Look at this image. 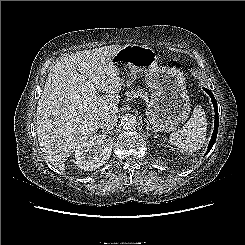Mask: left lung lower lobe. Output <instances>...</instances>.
I'll return each instance as SVG.
<instances>
[{
  "mask_svg": "<svg viewBox=\"0 0 245 245\" xmlns=\"http://www.w3.org/2000/svg\"><path fill=\"white\" fill-rule=\"evenodd\" d=\"M203 89H204V91H206L209 94L211 101L213 103V106H214V111H215L214 130H213V134H212L211 140H210L209 145H208V150L206 152V154H207L211 150V148L213 147L215 140H216V137H217L219 117H218L217 103H216V100H215L213 93L206 88H203Z\"/></svg>",
  "mask_w": 245,
  "mask_h": 245,
  "instance_id": "obj_1",
  "label": "left lung lower lobe"
}]
</instances>
